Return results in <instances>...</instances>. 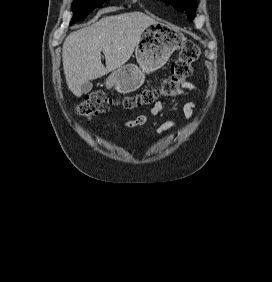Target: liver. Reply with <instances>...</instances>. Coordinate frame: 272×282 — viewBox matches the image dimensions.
<instances>
[{"instance_id":"6515ba94","label":"liver","mask_w":272,"mask_h":282,"mask_svg":"<svg viewBox=\"0 0 272 282\" xmlns=\"http://www.w3.org/2000/svg\"><path fill=\"white\" fill-rule=\"evenodd\" d=\"M154 19L141 12L107 16L68 35L62 60L66 83L77 97L82 85L122 67L132 56L143 33ZM103 51L106 67L101 62Z\"/></svg>"}]
</instances>
